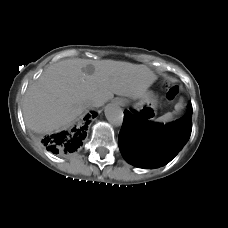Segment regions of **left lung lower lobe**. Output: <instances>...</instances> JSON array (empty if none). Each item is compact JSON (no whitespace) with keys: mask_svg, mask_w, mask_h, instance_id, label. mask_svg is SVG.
<instances>
[{"mask_svg":"<svg viewBox=\"0 0 228 228\" xmlns=\"http://www.w3.org/2000/svg\"><path fill=\"white\" fill-rule=\"evenodd\" d=\"M192 129V105L180 119L168 124L124 111L118 145L127 162L141 168H156L170 162L188 141Z\"/></svg>","mask_w":228,"mask_h":228,"instance_id":"1","label":"left lung lower lobe"}]
</instances>
